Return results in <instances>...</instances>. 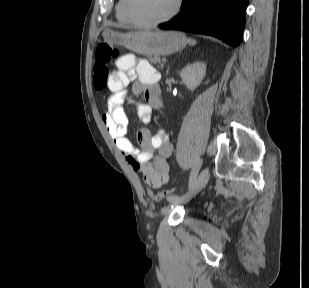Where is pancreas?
I'll return each mask as SVG.
<instances>
[{
  "label": "pancreas",
  "instance_id": "obj_1",
  "mask_svg": "<svg viewBox=\"0 0 309 288\" xmlns=\"http://www.w3.org/2000/svg\"><path fill=\"white\" fill-rule=\"evenodd\" d=\"M149 61L152 63V64H157V63H160V58L159 57H149Z\"/></svg>",
  "mask_w": 309,
  "mask_h": 288
}]
</instances>
